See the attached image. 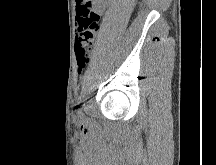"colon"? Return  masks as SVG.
<instances>
[{
	"label": "colon",
	"mask_w": 216,
	"mask_h": 165,
	"mask_svg": "<svg viewBox=\"0 0 216 165\" xmlns=\"http://www.w3.org/2000/svg\"><path fill=\"white\" fill-rule=\"evenodd\" d=\"M81 13L82 19L78 26L75 49L77 64L80 69H83L87 66L90 60L95 36L99 28V16L96 15L93 10L82 9Z\"/></svg>",
	"instance_id": "1"
}]
</instances>
